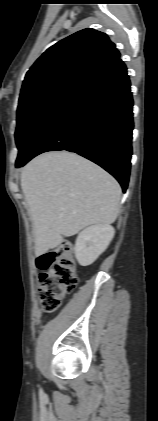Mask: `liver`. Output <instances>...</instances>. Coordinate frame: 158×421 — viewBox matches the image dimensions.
<instances>
[{"mask_svg": "<svg viewBox=\"0 0 158 421\" xmlns=\"http://www.w3.org/2000/svg\"><path fill=\"white\" fill-rule=\"evenodd\" d=\"M21 188L29 207L35 253L54 249L90 225L117 218L121 187L106 171L67 151L47 152L22 170Z\"/></svg>", "mask_w": 158, "mask_h": 421, "instance_id": "obj_1", "label": "liver"}]
</instances>
